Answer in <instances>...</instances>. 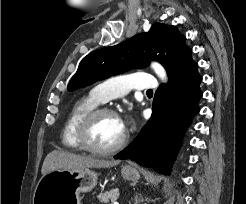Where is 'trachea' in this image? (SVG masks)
<instances>
[{
    "label": "trachea",
    "instance_id": "3493384b",
    "mask_svg": "<svg viewBox=\"0 0 246 204\" xmlns=\"http://www.w3.org/2000/svg\"><path fill=\"white\" fill-rule=\"evenodd\" d=\"M147 93H153V91L152 90H148Z\"/></svg>",
    "mask_w": 246,
    "mask_h": 204
}]
</instances>
